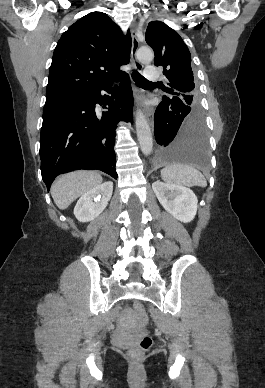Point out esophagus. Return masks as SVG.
<instances>
[{"mask_svg": "<svg viewBox=\"0 0 265 388\" xmlns=\"http://www.w3.org/2000/svg\"><path fill=\"white\" fill-rule=\"evenodd\" d=\"M130 32H131V37H132V51H131V56L133 60V65L135 67V70L137 72H142L143 71V65L136 59V53L139 48V40L137 38V24L133 22L130 27ZM147 115V121L150 124L151 127L154 125V112L153 110H148L146 112Z\"/></svg>", "mask_w": 265, "mask_h": 388, "instance_id": "34e87169", "label": "esophagus"}]
</instances>
